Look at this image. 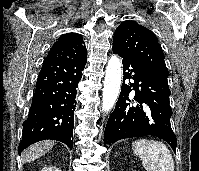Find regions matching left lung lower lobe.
Instances as JSON below:
<instances>
[{"label":"left lung lower lobe","mask_w":199,"mask_h":171,"mask_svg":"<svg viewBox=\"0 0 199 171\" xmlns=\"http://www.w3.org/2000/svg\"><path fill=\"white\" fill-rule=\"evenodd\" d=\"M113 53L123 58L124 77L119 99L105 128L104 144L151 135L168 142L176 152L177 139L170 124L171 91L167 80L142 67L116 47H113ZM126 79L134 82L126 84Z\"/></svg>","instance_id":"left-lung-lower-lobe-1"}]
</instances>
